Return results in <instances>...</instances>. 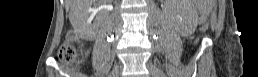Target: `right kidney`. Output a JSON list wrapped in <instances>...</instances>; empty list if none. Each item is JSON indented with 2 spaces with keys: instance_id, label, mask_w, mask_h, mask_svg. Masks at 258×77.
Segmentation results:
<instances>
[{
  "instance_id": "1",
  "label": "right kidney",
  "mask_w": 258,
  "mask_h": 77,
  "mask_svg": "<svg viewBox=\"0 0 258 77\" xmlns=\"http://www.w3.org/2000/svg\"><path fill=\"white\" fill-rule=\"evenodd\" d=\"M93 2L95 1L93 0ZM84 11H85L86 17L85 19H82L81 17L78 16V10L73 9V15H74L73 26H74V29L79 33L81 38L85 40H89L94 35V29L91 25L92 17H89L90 8H84Z\"/></svg>"
}]
</instances>
